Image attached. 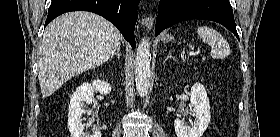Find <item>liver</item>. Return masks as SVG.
Masks as SVG:
<instances>
[{"instance_id": "6515ba94", "label": "liver", "mask_w": 280, "mask_h": 137, "mask_svg": "<svg viewBox=\"0 0 280 137\" xmlns=\"http://www.w3.org/2000/svg\"><path fill=\"white\" fill-rule=\"evenodd\" d=\"M123 37L103 17L85 11L63 14L45 29L39 47L38 79L43 97L115 53Z\"/></svg>"}]
</instances>
